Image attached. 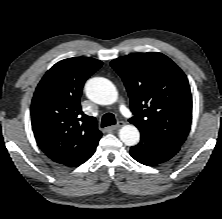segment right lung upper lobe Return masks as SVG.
Returning <instances> with one entry per match:
<instances>
[{
    "label": "right lung upper lobe",
    "mask_w": 222,
    "mask_h": 219,
    "mask_svg": "<svg viewBox=\"0 0 222 219\" xmlns=\"http://www.w3.org/2000/svg\"><path fill=\"white\" fill-rule=\"evenodd\" d=\"M102 62L73 57L56 63L38 84L31 103L32 129L40 149L53 161L70 167L82 164L102 136L96 119L81 110L85 81Z\"/></svg>",
    "instance_id": "obj_1"
}]
</instances>
